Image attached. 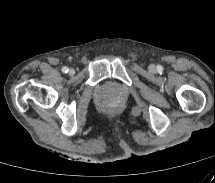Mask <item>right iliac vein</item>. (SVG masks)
<instances>
[{"mask_svg": "<svg viewBox=\"0 0 215 183\" xmlns=\"http://www.w3.org/2000/svg\"><path fill=\"white\" fill-rule=\"evenodd\" d=\"M70 76H73L75 74V70L73 68L69 69L68 71Z\"/></svg>", "mask_w": 215, "mask_h": 183, "instance_id": "obj_1", "label": "right iliac vein"}]
</instances>
